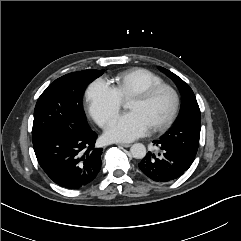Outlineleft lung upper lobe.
Returning a JSON list of instances; mask_svg holds the SVG:
<instances>
[{"mask_svg":"<svg viewBox=\"0 0 241 241\" xmlns=\"http://www.w3.org/2000/svg\"><path fill=\"white\" fill-rule=\"evenodd\" d=\"M179 88L182 95V110L176 124L163 136L161 141L170 143L194 160L199 146L201 115L196 97L187 83L171 71L160 67Z\"/></svg>","mask_w":241,"mask_h":241,"instance_id":"5c2ea615","label":"left lung upper lobe"}]
</instances>
